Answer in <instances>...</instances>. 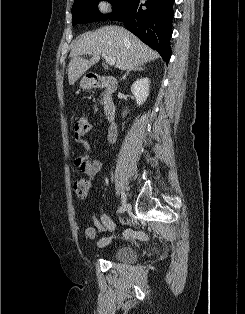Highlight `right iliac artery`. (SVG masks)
<instances>
[{
	"instance_id": "obj_1",
	"label": "right iliac artery",
	"mask_w": 245,
	"mask_h": 314,
	"mask_svg": "<svg viewBox=\"0 0 245 314\" xmlns=\"http://www.w3.org/2000/svg\"><path fill=\"white\" fill-rule=\"evenodd\" d=\"M125 202V197L123 196V200H122V205L124 204ZM122 207L120 208V211H121Z\"/></svg>"
}]
</instances>
